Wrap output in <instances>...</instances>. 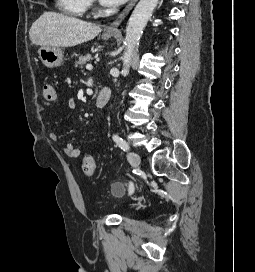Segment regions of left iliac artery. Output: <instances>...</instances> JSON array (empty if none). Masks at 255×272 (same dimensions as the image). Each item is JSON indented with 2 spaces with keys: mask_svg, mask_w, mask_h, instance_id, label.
<instances>
[{
  "mask_svg": "<svg viewBox=\"0 0 255 272\" xmlns=\"http://www.w3.org/2000/svg\"><path fill=\"white\" fill-rule=\"evenodd\" d=\"M113 140L116 142V144L123 150V151H128L129 150V145L128 143L123 140L121 137L118 135H113ZM129 191L131 194H134V185L132 182H129Z\"/></svg>",
  "mask_w": 255,
  "mask_h": 272,
  "instance_id": "left-iliac-artery-1",
  "label": "left iliac artery"
}]
</instances>
